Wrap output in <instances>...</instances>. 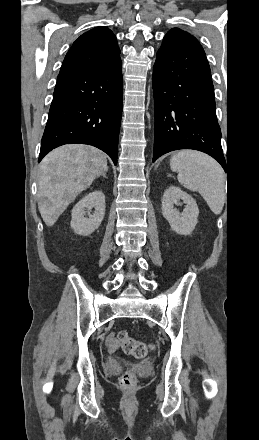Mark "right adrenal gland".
Instances as JSON below:
<instances>
[{
	"label": "right adrenal gland",
	"mask_w": 259,
	"mask_h": 440,
	"mask_svg": "<svg viewBox=\"0 0 259 440\" xmlns=\"http://www.w3.org/2000/svg\"><path fill=\"white\" fill-rule=\"evenodd\" d=\"M102 176H103L104 178H107V176H106V172H104V173L102 174Z\"/></svg>",
	"instance_id": "1"
}]
</instances>
